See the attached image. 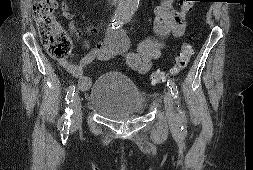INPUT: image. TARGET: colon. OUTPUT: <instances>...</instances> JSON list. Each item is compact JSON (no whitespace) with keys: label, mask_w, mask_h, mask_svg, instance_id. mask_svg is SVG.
Wrapping results in <instances>:
<instances>
[{"label":"colon","mask_w":253,"mask_h":170,"mask_svg":"<svg viewBox=\"0 0 253 170\" xmlns=\"http://www.w3.org/2000/svg\"><path fill=\"white\" fill-rule=\"evenodd\" d=\"M192 1L183 0L181 10L185 13L192 8ZM58 7L57 0H36L33 4V17L36 22L40 39L48 54L57 60L67 58L72 51V40L59 26L55 18ZM193 54L192 46L185 41L175 59V64L168 71H155L150 78L153 83L163 84L170 76L180 73L188 65Z\"/></svg>","instance_id":"colon-1"}]
</instances>
